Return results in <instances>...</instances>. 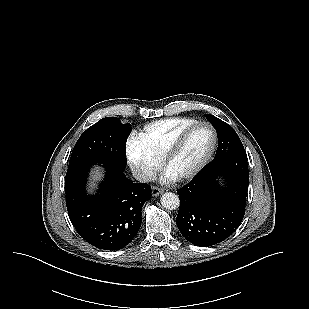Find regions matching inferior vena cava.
<instances>
[{
	"mask_svg": "<svg viewBox=\"0 0 309 309\" xmlns=\"http://www.w3.org/2000/svg\"><path fill=\"white\" fill-rule=\"evenodd\" d=\"M133 177L140 181V182H149L151 180H153V176H151L150 174L143 172L140 169H134L132 171Z\"/></svg>",
	"mask_w": 309,
	"mask_h": 309,
	"instance_id": "1",
	"label": "inferior vena cava"
}]
</instances>
